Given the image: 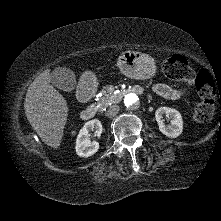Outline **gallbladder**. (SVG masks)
I'll list each match as a JSON object with an SVG mask.
<instances>
[{"mask_svg": "<svg viewBox=\"0 0 221 221\" xmlns=\"http://www.w3.org/2000/svg\"><path fill=\"white\" fill-rule=\"evenodd\" d=\"M51 83L58 89L69 92L75 88L76 77L73 71L68 68H56L50 74Z\"/></svg>", "mask_w": 221, "mask_h": 221, "instance_id": "gallbladder-1", "label": "gallbladder"}]
</instances>
